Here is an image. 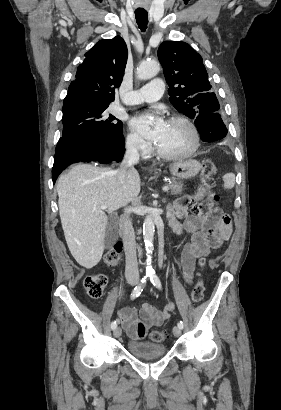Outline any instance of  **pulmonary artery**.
<instances>
[{"instance_id": "pulmonary-artery-1", "label": "pulmonary artery", "mask_w": 281, "mask_h": 410, "mask_svg": "<svg viewBox=\"0 0 281 410\" xmlns=\"http://www.w3.org/2000/svg\"><path fill=\"white\" fill-rule=\"evenodd\" d=\"M164 91V83L161 79H154L138 90L132 91L123 99L124 103L136 105L151 103L159 100Z\"/></svg>"}]
</instances>
